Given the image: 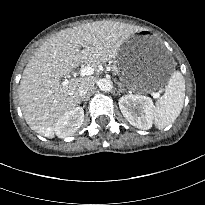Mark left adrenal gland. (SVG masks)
<instances>
[{
    "instance_id": "obj_1",
    "label": "left adrenal gland",
    "mask_w": 205,
    "mask_h": 205,
    "mask_svg": "<svg viewBox=\"0 0 205 205\" xmlns=\"http://www.w3.org/2000/svg\"><path fill=\"white\" fill-rule=\"evenodd\" d=\"M118 86H119V91H120V92L125 91V89H124V87L122 86L121 83H118Z\"/></svg>"
}]
</instances>
